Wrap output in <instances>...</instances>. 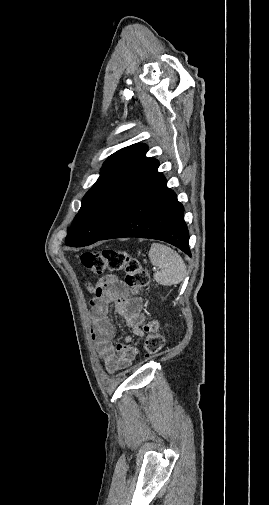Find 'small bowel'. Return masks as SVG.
Wrapping results in <instances>:
<instances>
[{"mask_svg": "<svg viewBox=\"0 0 269 505\" xmlns=\"http://www.w3.org/2000/svg\"><path fill=\"white\" fill-rule=\"evenodd\" d=\"M94 298L90 308L91 336L99 358L109 373L128 368L134 361L137 351L127 343H115L114 327L108 317L109 305L124 319L135 336L141 337L143 315L141 301L127 295L124 282L115 275H108L91 288Z\"/></svg>", "mask_w": 269, "mask_h": 505, "instance_id": "obj_1", "label": "small bowel"}]
</instances>
